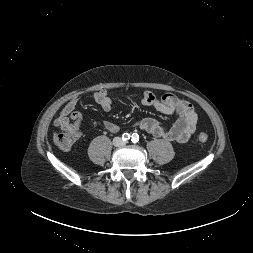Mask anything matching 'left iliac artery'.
<instances>
[{
  "mask_svg": "<svg viewBox=\"0 0 253 253\" xmlns=\"http://www.w3.org/2000/svg\"><path fill=\"white\" fill-rule=\"evenodd\" d=\"M132 142L133 143H136V142H138V140H139V135L137 134V133H133L132 134Z\"/></svg>",
  "mask_w": 253,
  "mask_h": 253,
  "instance_id": "44dca946",
  "label": "left iliac artery"
}]
</instances>
